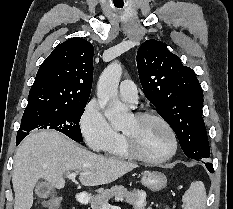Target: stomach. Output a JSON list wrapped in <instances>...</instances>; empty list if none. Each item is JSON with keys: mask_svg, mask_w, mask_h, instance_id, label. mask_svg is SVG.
Segmentation results:
<instances>
[{"mask_svg": "<svg viewBox=\"0 0 233 209\" xmlns=\"http://www.w3.org/2000/svg\"><path fill=\"white\" fill-rule=\"evenodd\" d=\"M141 183L152 191H160L166 187L167 178L159 171H145L142 173Z\"/></svg>", "mask_w": 233, "mask_h": 209, "instance_id": "obj_1", "label": "stomach"}]
</instances>
